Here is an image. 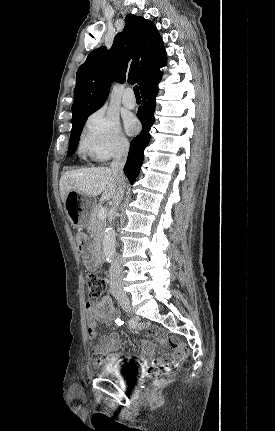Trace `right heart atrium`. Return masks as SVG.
<instances>
[{"instance_id":"d8ad5b80","label":"right heart atrium","mask_w":275,"mask_h":431,"mask_svg":"<svg viewBox=\"0 0 275 431\" xmlns=\"http://www.w3.org/2000/svg\"><path fill=\"white\" fill-rule=\"evenodd\" d=\"M80 150L96 162H105L125 154L129 143L116 116L106 109L91 114L82 130Z\"/></svg>"}]
</instances>
